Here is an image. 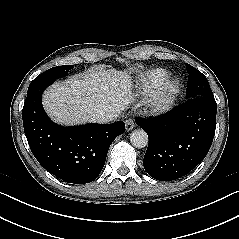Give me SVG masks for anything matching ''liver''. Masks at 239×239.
I'll return each mask as SVG.
<instances>
[{"label":"liver","mask_w":239,"mask_h":239,"mask_svg":"<svg viewBox=\"0 0 239 239\" xmlns=\"http://www.w3.org/2000/svg\"><path fill=\"white\" fill-rule=\"evenodd\" d=\"M132 101L130 76L125 71L102 68L56 82L43 96L45 111L64 125L95 122L99 112L117 117Z\"/></svg>","instance_id":"6515ba94"}]
</instances>
